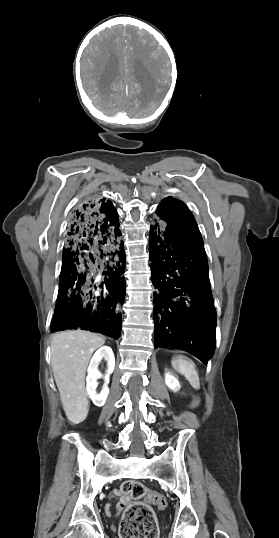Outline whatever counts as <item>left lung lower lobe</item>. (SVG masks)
Returning a JSON list of instances; mask_svg holds the SVG:
<instances>
[{
    "mask_svg": "<svg viewBox=\"0 0 279 538\" xmlns=\"http://www.w3.org/2000/svg\"><path fill=\"white\" fill-rule=\"evenodd\" d=\"M155 348L185 350L204 364L215 350L216 310L198 229L151 225Z\"/></svg>",
    "mask_w": 279,
    "mask_h": 538,
    "instance_id": "0a47b994",
    "label": "left lung lower lobe"
}]
</instances>
